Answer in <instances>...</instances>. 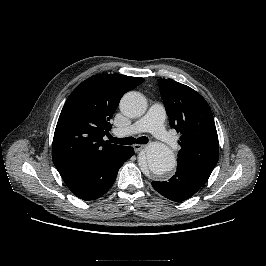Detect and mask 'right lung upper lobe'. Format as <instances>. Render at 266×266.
<instances>
[{"label": "right lung upper lobe", "mask_w": 266, "mask_h": 266, "mask_svg": "<svg viewBox=\"0 0 266 266\" xmlns=\"http://www.w3.org/2000/svg\"><path fill=\"white\" fill-rule=\"evenodd\" d=\"M143 78L97 74L79 84L68 97L55 129L52 158L58 171L112 154L123 146L103 140L121 97Z\"/></svg>", "instance_id": "obj_1"}]
</instances>
